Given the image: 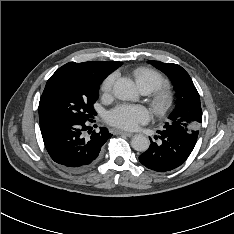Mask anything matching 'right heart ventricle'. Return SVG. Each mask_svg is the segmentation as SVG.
<instances>
[{
	"label": "right heart ventricle",
	"mask_w": 234,
	"mask_h": 234,
	"mask_svg": "<svg viewBox=\"0 0 234 234\" xmlns=\"http://www.w3.org/2000/svg\"><path fill=\"white\" fill-rule=\"evenodd\" d=\"M133 76L138 88L146 89L150 92L165 88L167 80L156 70L148 67H140L134 70Z\"/></svg>",
	"instance_id": "1"
}]
</instances>
